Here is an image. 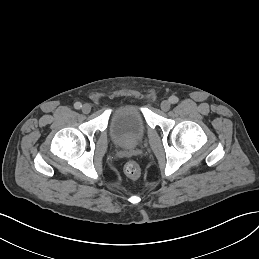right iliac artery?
I'll use <instances>...</instances> for the list:
<instances>
[{
  "mask_svg": "<svg viewBox=\"0 0 259 259\" xmlns=\"http://www.w3.org/2000/svg\"><path fill=\"white\" fill-rule=\"evenodd\" d=\"M74 107H75L76 109H80V108L82 107V104H81L80 102H76V103L74 104Z\"/></svg>",
  "mask_w": 259,
  "mask_h": 259,
  "instance_id": "1",
  "label": "right iliac artery"
}]
</instances>
